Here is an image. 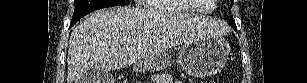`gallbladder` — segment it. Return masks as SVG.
I'll return each mask as SVG.
<instances>
[{
	"label": "gallbladder",
	"instance_id": "bac80fb5",
	"mask_svg": "<svg viewBox=\"0 0 307 83\" xmlns=\"http://www.w3.org/2000/svg\"><path fill=\"white\" fill-rule=\"evenodd\" d=\"M112 75L102 70L91 69L84 73L80 79V83H110Z\"/></svg>",
	"mask_w": 307,
	"mask_h": 83
}]
</instances>
